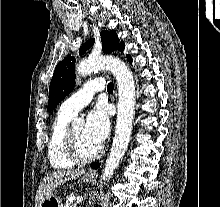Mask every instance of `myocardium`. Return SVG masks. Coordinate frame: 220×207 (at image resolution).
Returning <instances> with one entry per match:
<instances>
[{"mask_svg":"<svg viewBox=\"0 0 220 207\" xmlns=\"http://www.w3.org/2000/svg\"><path fill=\"white\" fill-rule=\"evenodd\" d=\"M64 150L67 157L76 164H85L96 160L102 154V148L90 156H83L77 147L76 140L73 134V128L68 127L64 136Z\"/></svg>","mask_w":220,"mask_h":207,"instance_id":"obj_1","label":"myocardium"}]
</instances>
